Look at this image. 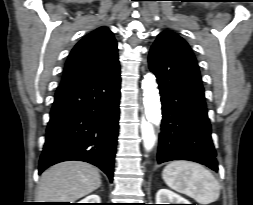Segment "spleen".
<instances>
[{
    "label": "spleen",
    "mask_w": 253,
    "mask_h": 205,
    "mask_svg": "<svg viewBox=\"0 0 253 205\" xmlns=\"http://www.w3.org/2000/svg\"><path fill=\"white\" fill-rule=\"evenodd\" d=\"M162 178L170 188L190 196L199 204H210L220 195V185L213 174L195 162H170L164 168Z\"/></svg>",
    "instance_id": "spleen-1"
}]
</instances>
